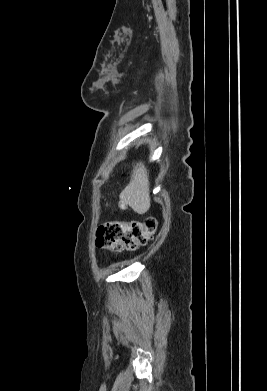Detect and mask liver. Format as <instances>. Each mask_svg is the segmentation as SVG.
<instances>
[{
    "instance_id": "liver-1",
    "label": "liver",
    "mask_w": 267,
    "mask_h": 391,
    "mask_svg": "<svg viewBox=\"0 0 267 391\" xmlns=\"http://www.w3.org/2000/svg\"><path fill=\"white\" fill-rule=\"evenodd\" d=\"M120 201L121 206L129 205L138 214H145L150 209L148 173L142 162L134 166L129 184L120 193Z\"/></svg>"
}]
</instances>
